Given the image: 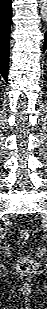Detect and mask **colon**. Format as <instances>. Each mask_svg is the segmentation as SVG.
I'll return each instance as SVG.
<instances>
[{
    "label": "colon",
    "mask_w": 47,
    "mask_h": 309,
    "mask_svg": "<svg viewBox=\"0 0 47 309\" xmlns=\"http://www.w3.org/2000/svg\"><path fill=\"white\" fill-rule=\"evenodd\" d=\"M19 236L22 241H27L31 237V231L29 229H22ZM17 267L21 273L29 274L36 269L37 263L31 257H23L19 260Z\"/></svg>",
    "instance_id": "colon-1"
}]
</instances>
